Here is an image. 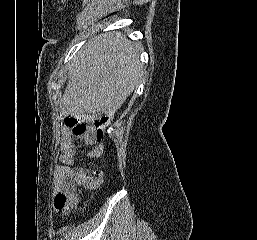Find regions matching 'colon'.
<instances>
[{"instance_id":"colon-1","label":"colon","mask_w":257,"mask_h":240,"mask_svg":"<svg viewBox=\"0 0 257 240\" xmlns=\"http://www.w3.org/2000/svg\"><path fill=\"white\" fill-rule=\"evenodd\" d=\"M107 122L106 117H102L98 120H96L93 124H86L84 122H81L73 117H68L65 119V125L72 133L76 135H82L84 134L89 128H92L95 130L97 137L99 139L103 138L104 131L103 127ZM101 176V173L99 171L94 172L93 175H85L81 183L84 187H92L95 186L99 182V178ZM78 193L75 191L70 192L68 194H58L55 198V205L59 209L63 210H70L73 208L77 201H78Z\"/></svg>"}]
</instances>
